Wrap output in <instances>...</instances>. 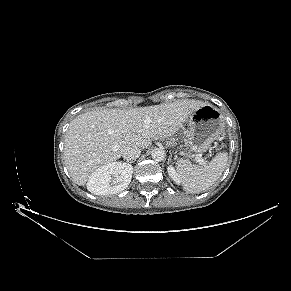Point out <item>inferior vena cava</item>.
Returning a JSON list of instances; mask_svg holds the SVG:
<instances>
[{"mask_svg":"<svg viewBox=\"0 0 291 291\" xmlns=\"http://www.w3.org/2000/svg\"><path fill=\"white\" fill-rule=\"evenodd\" d=\"M141 154V149L135 145H128L122 149V156L127 162L135 161Z\"/></svg>","mask_w":291,"mask_h":291,"instance_id":"inferior-vena-cava-1","label":"inferior vena cava"}]
</instances>
